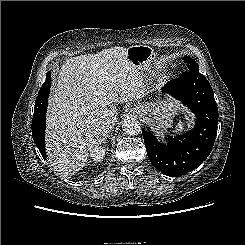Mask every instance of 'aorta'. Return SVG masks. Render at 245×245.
<instances>
[{
  "label": "aorta",
  "mask_w": 245,
  "mask_h": 245,
  "mask_svg": "<svg viewBox=\"0 0 245 245\" xmlns=\"http://www.w3.org/2000/svg\"><path fill=\"white\" fill-rule=\"evenodd\" d=\"M122 129L127 135H137L141 131L140 122L136 118H127L122 124Z\"/></svg>",
  "instance_id": "762f6f07"
}]
</instances>
